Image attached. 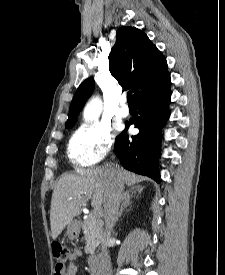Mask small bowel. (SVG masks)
I'll list each match as a JSON object with an SVG mask.
<instances>
[{"instance_id":"1","label":"small bowel","mask_w":225,"mask_h":275,"mask_svg":"<svg viewBox=\"0 0 225 275\" xmlns=\"http://www.w3.org/2000/svg\"><path fill=\"white\" fill-rule=\"evenodd\" d=\"M81 255H82V252L80 249H75L71 253L69 257V262L66 266V271L63 273V275H76V271H77L76 262L81 257Z\"/></svg>"}]
</instances>
